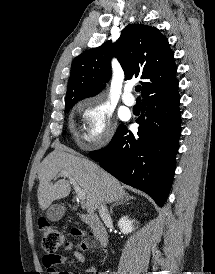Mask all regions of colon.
<instances>
[{
    "instance_id": "1",
    "label": "colon",
    "mask_w": 215,
    "mask_h": 274,
    "mask_svg": "<svg viewBox=\"0 0 215 274\" xmlns=\"http://www.w3.org/2000/svg\"><path fill=\"white\" fill-rule=\"evenodd\" d=\"M38 228L41 236L42 247L47 254H55V252L62 246L68 247L62 233L55 228L45 217L38 219ZM77 235H82L79 230L74 232ZM88 243L84 240L82 247H88Z\"/></svg>"
}]
</instances>
